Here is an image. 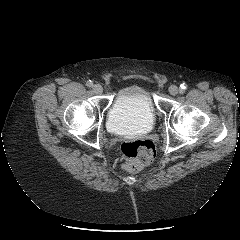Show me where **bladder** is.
Returning <instances> with one entry per match:
<instances>
[{"instance_id": "31cf9c89", "label": "bladder", "mask_w": 240, "mask_h": 240, "mask_svg": "<svg viewBox=\"0 0 240 240\" xmlns=\"http://www.w3.org/2000/svg\"><path fill=\"white\" fill-rule=\"evenodd\" d=\"M155 120L156 107L150 91L135 83L114 98L107 113V128L115 134H139L150 131Z\"/></svg>"}]
</instances>
